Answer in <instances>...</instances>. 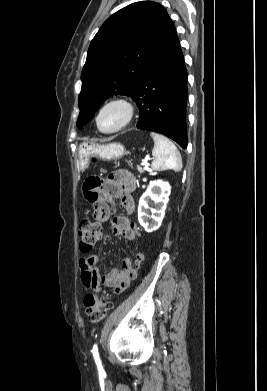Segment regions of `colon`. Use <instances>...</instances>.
Returning <instances> with one entry per match:
<instances>
[{
    "instance_id": "1",
    "label": "colon",
    "mask_w": 267,
    "mask_h": 391,
    "mask_svg": "<svg viewBox=\"0 0 267 391\" xmlns=\"http://www.w3.org/2000/svg\"><path fill=\"white\" fill-rule=\"evenodd\" d=\"M103 233L100 222L83 219L80 222L78 234L80 237V250L89 253L93 250ZM85 312L90 322L103 320L112 309V303L96 294L89 293L84 299Z\"/></svg>"
}]
</instances>
